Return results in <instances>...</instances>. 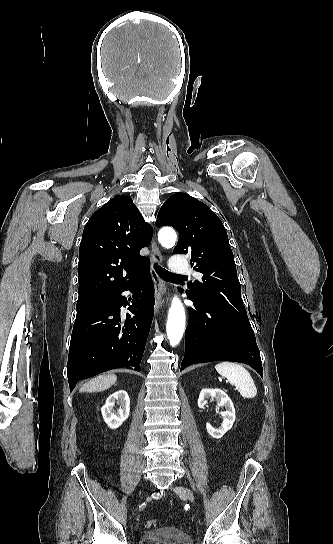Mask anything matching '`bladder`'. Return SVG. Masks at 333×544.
<instances>
[{
	"mask_svg": "<svg viewBox=\"0 0 333 544\" xmlns=\"http://www.w3.org/2000/svg\"><path fill=\"white\" fill-rule=\"evenodd\" d=\"M139 544H193L191 537L175 527L159 528L144 533Z\"/></svg>",
	"mask_w": 333,
	"mask_h": 544,
	"instance_id": "bladder-1",
	"label": "bladder"
}]
</instances>
